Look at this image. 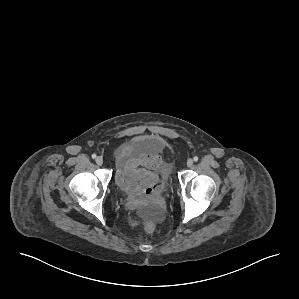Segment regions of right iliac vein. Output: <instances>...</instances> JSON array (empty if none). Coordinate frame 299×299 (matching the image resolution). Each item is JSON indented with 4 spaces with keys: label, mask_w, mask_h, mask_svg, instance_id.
<instances>
[{
    "label": "right iliac vein",
    "mask_w": 299,
    "mask_h": 299,
    "mask_svg": "<svg viewBox=\"0 0 299 299\" xmlns=\"http://www.w3.org/2000/svg\"><path fill=\"white\" fill-rule=\"evenodd\" d=\"M95 161H96V164L99 166H101L103 164V158L100 156H98Z\"/></svg>",
    "instance_id": "63e3f726"
}]
</instances>
